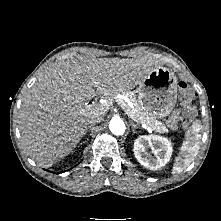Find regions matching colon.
<instances>
[{
  "mask_svg": "<svg viewBox=\"0 0 221 221\" xmlns=\"http://www.w3.org/2000/svg\"><path fill=\"white\" fill-rule=\"evenodd\" d=\"M180 93L184 100H190L192 97L191 90L187 86V84L183 81L179 83ZM182 116V128L187 129L195 116V110L191 107H187L181 113Z\"/></svg>",
  "mask_w": 221,
  "mask_h": 221,
  "instance_id": "colon-1",
  "label": "colon"
}]
</instances>
